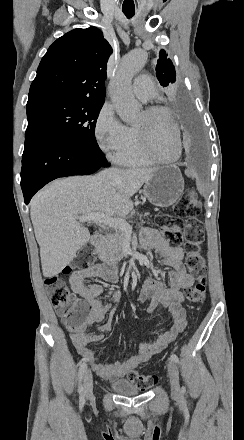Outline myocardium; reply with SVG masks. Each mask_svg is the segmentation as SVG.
<instances>
[{"instance_id":"obj_1","label":"myocardium","mask_w":244,"mask_h":440,"mask_svg":"<svg viewBox=\"0 0 244 440\" xmlns=\"http://www.w3.org/2000/svg\"><path fill=\"white\" fill-rule=\"evenodd\" d=\"M158 112H162L164 115H167V122L169 123V127H172L171 130H169L171 133H174L175 136V143H174V149H173V155L170 158H163L161 156V154H158L156 152H154V150L149 146L148 149V153L152 154L153 158L161 165H173L179 158V154H180V134L173 122V115L171 114L170 110H165L164 107L162 106H150L145 108L144 113L146 115H152ZM136 130L140 131V142H141V147H146V139L148 136V131H147V127L143 126V127H138L135 126L134 127Z\"/></svg>"}]
</instances>
